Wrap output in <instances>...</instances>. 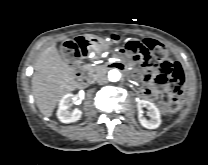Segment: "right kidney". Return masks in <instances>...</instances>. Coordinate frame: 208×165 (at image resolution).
Returning <instances> with one entry per match:
<instances>
[{"instance_id": "ca27d5eb", "label": "right kidney", "mask_w": 208, "mask_h": 165, "mask_svg": "<svg viewBox=\"0 0 208 165\" xmlns=\"http://www.w3.org/2000/svg\"><path fill=\"white\" fill-rule=\"evenodd\" d=\"M84 94L80 92V96ZM74 95L69 93L66 94L59 102V107L57 110V117L62 123H71L78 121L82 116V111L79 109H71L70 105Z\"/></svg>"}]
</instances>
